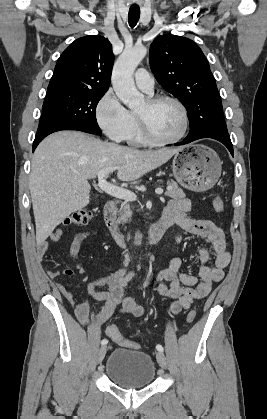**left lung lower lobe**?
Returning a JSON list of instances; mask_svg holds the SVG:
<instances>
[{
  "label": "left lung lower lobe",
  "mask_w": 267,
  "mask_h": 419,
  "mask_svg": "<svg viewBox=\"0 0 267 419\" xmlns=\"http://www.w3.org/2000/svg\"><path fill=\"white\" fill-rule=\"evenodd\" d=\"M210 121L211 120L209 119L202 118L201 120L193 122L190 126V132L188 136L182 142L176 143V145L187 144L201 138H212L223 143L233 155V146L228 131L214 134L209 124Z\"/></svg>",
  "instance_id": "obj_1"
}]
</instances>
